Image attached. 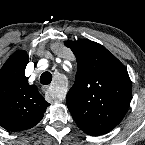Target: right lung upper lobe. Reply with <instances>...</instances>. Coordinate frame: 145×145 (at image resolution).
Instances as JSON below:
<instances>
[{
	"instance_id": "cb5924a9",
	"label": "right lung upper lobe",
	"mask_w": 145,
	"mask_h": 145,
	"mask_svg": "<svg viewBox=\"0 0 145 145\" xmlns=\"http://www.w3.org/2000/svg\"><path fill=\"white\" fill-rule=\"evenodd\" d=\"M26 51L13 54L0 69V125L8 131L27 130L38 124L50 105L25 76Z\"/></svg>"
}]
</instances>
